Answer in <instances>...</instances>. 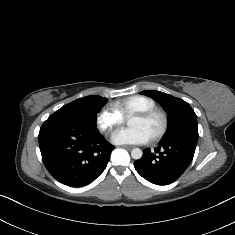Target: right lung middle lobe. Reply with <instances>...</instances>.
<instances>
[{
    "label": "right lung middle lobe",
    "instance_id": "right-lung-middle-lobe-1",
    "mask_svg": "<svg viewBox=\"0 0 235 235\" xmlns=\"http://www.w3.org/2000/svg\"><path fill=\"white\" fill-rule=\"evenodd\" d=\"M107 99L101 96L79 98L57 110L51 116L66 117L85 126L96 128V117Z\"/></svg>",
    "mask_w": 235,
    "mask_h": 235
}]
</instances>
